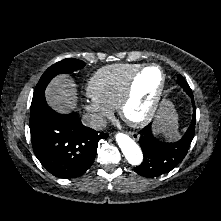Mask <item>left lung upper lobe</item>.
<instances>
[{
  "instance_id": "left-lung-upper-lobe-1",
  "label": "left lung upper lobe",
  "mask_w": 221,
  "mask_h": 221,
  "mask_svg": "<svg viewBox=\"0 0 221 221\" xmlns=\"http://www.w3.org/2000/svg\"><path fill=\"white\" fill-rule=\"evenodd\" d=\"M178 83L179 85H181V87L184 88V90H186L189 96L193 95L188 83L185 81V79L181 75L178 76Z\"/></svg>"
}]
</instances>
